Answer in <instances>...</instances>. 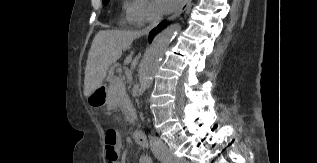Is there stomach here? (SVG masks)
<instances>
[{
    "label": "stomach",
    "mask_w": 317,
    "mask_h": 163,
    "mask_svg": "<svg viewBox=\"0 0 317 163\" xmlns=\"http://www.w3.org/2000/svg\"><path fill=\"white\" fill-rule=\"evenodd\" d=\"M87 102L92 108H101L108 104V94L104 86L97 88L87 97Z\"/></svg>",
    "instance_id": "0dacf381"
}]
</instances>
